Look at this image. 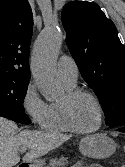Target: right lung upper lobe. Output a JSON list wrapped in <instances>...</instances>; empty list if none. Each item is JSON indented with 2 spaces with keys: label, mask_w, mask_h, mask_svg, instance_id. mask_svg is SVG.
<instances>
[{
  "label": "right lung upper lobe",
  "mask_w": 125,
  "mask_h": 167,
  "mask_svg": "<svg viewBox=\"0 0 125 167\" xmlns=\"http://www.w3.org/2000/svg\"><path fill=\"white\" fill-rule=\"evenodd\" d=\"M33 14L27 0H0V80L28 82Z\"/></svg>",
  "instance_id": "1"
}]
</instances>
